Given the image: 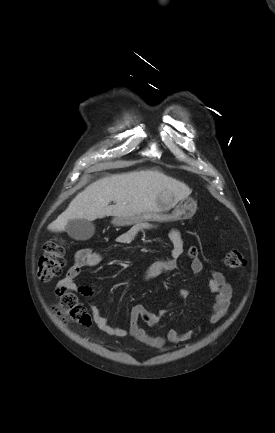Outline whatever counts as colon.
I'll return each instance as SVG.
<instances>
[{
	"label": "colon",
	"instance_id": "obj_1",
	"mask_svg": "<svg viewBox=\"0 0 275 433\" xmlns=\"http://www.w3.org/2000/svg\"><path fill=\"white\" fill-rule=\"evenodd\" d=\"M43 249L44 252L38 260V276L41 279L57 277L64 267L65 244L59 237H54L46 241ZM222 262L226 267L235 269L242 267L245 260L238 250L229 249L223 254ZM57 295L59 302L54 309L60 320H71L81 326H90V315L71 291L58 288Z\"/></svg>",
	"mask_w": 275,
	"mask_h": 433
}]
</instances>
